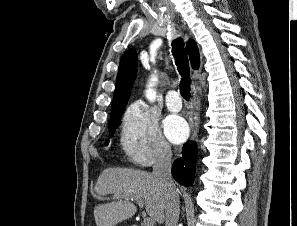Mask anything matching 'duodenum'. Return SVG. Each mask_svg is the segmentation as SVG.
Listing matches in <instances>:
<instances>
[{"instance_id": "410a0bca", "label": "duodenum", "mask_w": 297, "mask_h": 226, "mask_svg": "<svg viewBox=\"0 0 297 226\" xmlns=\"http://www.w3.org/2000/svg\"><path fill=\"white\" fill-rule=\"evenodd\" d=\"M132 226H139V225H137V224H133Z\"/></svg>"}]
</instances>
